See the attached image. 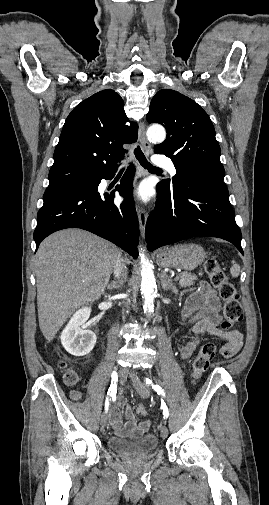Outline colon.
I'll return each mask as SVG.
<instances>
[{"label":"colon","mask_w":269,"mask_h":505,"mask_svg":"<svg viewBox=\"0 0 269 505\" xmlns=\"http://www.w3.org/2000/svg\"><path fill=\"white\" fill-rule=\"evenodd\" d=\"M205 270L209 276L210 283L218 290L219 296L224 302L223 321L221 329L228 331L243 319V307L240 303L235 284L229 280L223 267L215 259H209L205 263ZM216 346L213 343L204 344L192 364L191 380L196 384L204 372L208 369L210 361L215 357ZM59 367L64 371V380L68 385H74L78 381L77 373L70 369L65 361L59 362ZM72 397L78 399L80 394L73 392ZM137 413L144 416L146 409L143 405L137 407Z\"/></svg>","instance_id":"obj_1"}]
</instances>
